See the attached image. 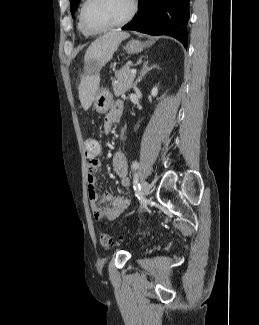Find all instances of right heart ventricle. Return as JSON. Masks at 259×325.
Instances as JSON below:
<instances>
[{
    "instance_id": "1",
    "label": "right heart ventricle",
    "mask_w": 259,
    "mask_h": 325,
    "mask_svg": "<svg viewBox=\"0 0 259 325\" xmlns=\"http://www.w3.org/2000/svg\"><path fill=\"white\" fill-rule=\"evenodd\" d=\"M83 4H84V2L81 4L80 9H79L78 24H77V26H78V30H79L83 35H85V36H90L91 34H89L88 32H86V31L84 30V28H83L82 25H81V21H80V11H81V8H82Z\"/></svg>"
}]
</instances>
